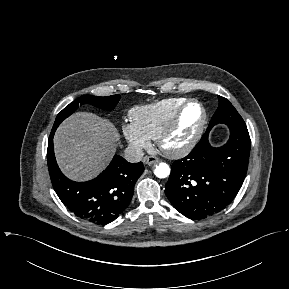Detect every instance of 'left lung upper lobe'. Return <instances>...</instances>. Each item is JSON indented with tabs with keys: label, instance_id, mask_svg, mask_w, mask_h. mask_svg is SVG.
<instances>
[{
	"label": "left lung upper lobe",
	"instance_id": "1",
	"mask_svg": "<svg viewBox=\"0 0 289 289\" xmlns=\"http://www.w3.org/2000/svg\"><path fill=\"white\" fill-rule=\"evenodd\" d=\"M218 99V109L209 123V128H212L218 123H224L228 126L247 128L244 120L239 115L234 106L222 96H218Z\"/></svg>",
	"mask_w": 289,
	"mask_h": 289
}]
</instances>
